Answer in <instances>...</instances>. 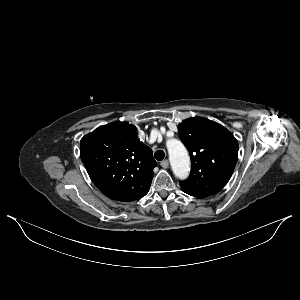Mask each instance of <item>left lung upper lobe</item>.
Wrapping results in <instances>:
<instances>
[{
    "label": "left lung upper lobe",
    "instance_id": "obj_1",
    "mask_svg": "<svg viewBox=\"0 0 300 300\" xmlns=\"http://www.w3.org/2000/svg\"><path fill=\"white\" fill-rule=\"evenodd\" d=\"M178 131L192 162L189 178L179 182L183 191L199 198L219 192L237 163L236 138L222 125L200 117L184 120Z\"/></svg>",
    "mask_w": 300,
    "mask_h": 300
}]
</instances>
